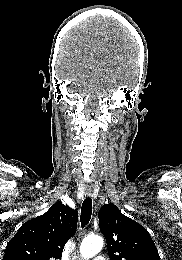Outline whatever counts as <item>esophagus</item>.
<instances>
[{"label": "esophagus", "mask_w": 182, "mask_h": 260, "mask_svg": "<svg viewBox=\"0 0 182 260\" xmlns=\"http://www.w3.org/2000/svg\"><path fill=\"white\" fill-rule=\"evenodd\" d=\"M85 194H86L88 197H91V196H92V189H91V188H87L86 191H85Z\"/></svg>", "instance_id": "esophagus-1"}]
</instances>
